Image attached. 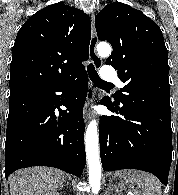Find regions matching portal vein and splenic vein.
Segmentation results:
<instances>
[{
  "label": "portal vein and splenic vein",
  "instance_id": "18ae733b",
  "mask_svg": "<svg viewBox=\"0 0 178 195\" xmlns=\"http://www.w3.org/2000/svg\"><path fill=\"white\" fill-rule=\"evenodd\" d=\"M128 195H137L136 193H130V194H128Z\"/></svg>",
  "mask_w": 178,
  "mask_h": 195
}]
</instances>
